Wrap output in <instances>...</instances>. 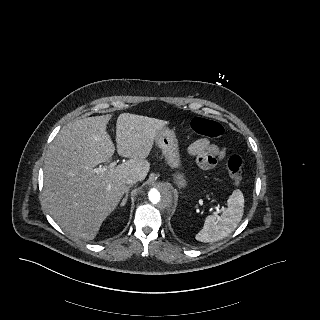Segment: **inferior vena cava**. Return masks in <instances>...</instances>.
<instances>
[{"label": "inferior vena cava", "instance_id": "obj_1", "mask_svg": "<svg viewBox=\"0 0 320 320\" xmlns=\"http://www.w3.org/2000/svg\"><path fill=\"white\" fill-rule=\"evenodd\" d=\"M137 182H138V176L137 175H131V176L127 177V179H126V183L130 184V185L135 184Z\"/></svg>", "mask_w": 320, "mask_h": 320}]
</instances>
